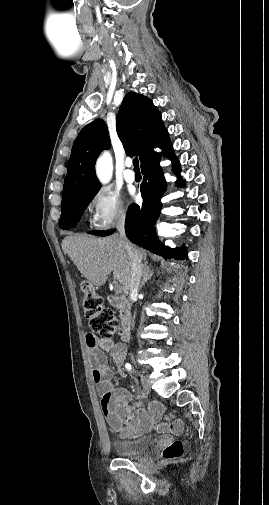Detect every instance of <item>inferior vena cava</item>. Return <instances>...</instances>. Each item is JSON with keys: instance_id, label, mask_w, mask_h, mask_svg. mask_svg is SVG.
<instances>
[{"instance_id": "obj_1", "label": "inferior vena cava", "mask_w": 269, "mask_h": 505, "mask_svg": "<svg viewBox=\"0 0 269 505\" xmlns=\"http://www.w3.org/2000/svg\"><path fill=\"white\" fill-rule=\"evenodd\" d=\"M117 229L120 234V238L123 240L124 248L129 257L130 267H131V277H130V294L135 295L138 293L140 286V279L143 273V265L141 263V258L138 255L136 249L128 242L125 234V216H121Z\"/></svg>"}]
</instances>
